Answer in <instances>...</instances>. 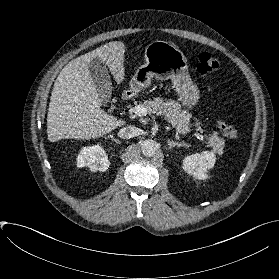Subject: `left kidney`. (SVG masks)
Returning <instances> with one entry per match:
<instances>
[{
	"label": "left kidney",
	"mask_w": 279,
	"mask_h": 279,
	"mask_svg": "<svg viewBox=\"0 0 279 279\" xmlns=\"http://www.w3.org/2000/svg\"><path fill=\"white\" fill-rule=\"evenodd\" d=\"M215 152L204 151L201 154L195 153L183 159V170L199 180L208 178L207 170L214 167Z\"/></svg>",
	"instance_id": "5707ae66"
}]
</instances>
